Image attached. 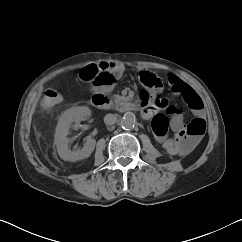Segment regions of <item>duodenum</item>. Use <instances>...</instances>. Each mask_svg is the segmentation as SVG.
<instances>
[{
    "label": "duodenum",
    "mask_w": 242,
    "mask_h": 242,
    "mask_svg": "<svg viewBox=\"0 0 242 242\" xmlns=\"http://www.w3.org/2000/svg\"><path fill=\"white\" fill-rule=\"evenodd\" d=\"M91 103L94 107L102 110L117 108L120 111H141V108L127 100L114 102L104 91L95 90L91 96Z\"/></svg>",
    "instance_id": "obj_1"
}]
</instances>
